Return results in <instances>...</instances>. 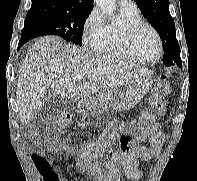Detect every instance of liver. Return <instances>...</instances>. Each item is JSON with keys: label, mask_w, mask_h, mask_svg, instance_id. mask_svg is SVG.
I'll return each instance as SVG.
<instances>
[{"label": "liver", "mask_w": 197, "mask_h": 181, "mask_svg": "<svg viewBox=\"0 0 197 181\" xmlns=\"http://www.w3.org/2000/svg\"><path fill=\"white\" fill-rule=\"evenodd\" d=\"M61 48L62 52H58ZM150 74L149 69L115 57L94 54L75 45L63 47L60 37H41L29 48L19 70L16 94L20 121L27 124L42 109L49 88L62 98L83 99ZM76 75L87 80L75 84L71 79Z\"/></svg>", "instance_id": "obj_1"}]
</instances>
